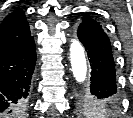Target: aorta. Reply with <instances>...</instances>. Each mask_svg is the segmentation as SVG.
I'll use <instances>...</instances> for the list:
<instances>
[{
    "label": "aorta",
    "instance_id": "aorta-1",
    "mask_svg": "<svg viewBox=\"0 0 133 118\" xmlns=\"http://www.w3.org/2000/svg\"><path fill=\"white\" fill-rule=\"evenodd\" d=\"M70 62L73 76L78 84H84L87 79V61L82 44L73 40L70 45Z\"/></svg>",
    "mask_w": 133,
    "mask_h": 118
}]
</instances>
